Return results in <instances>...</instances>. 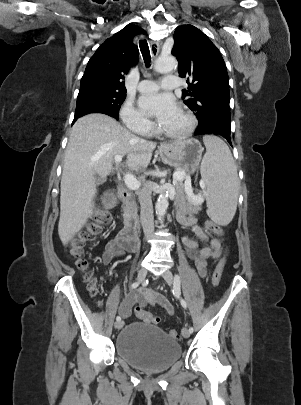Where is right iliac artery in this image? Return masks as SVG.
<instances>
[{
	"mask_svg": "<svg viewBox=\"0 0 301 405\" xmlns=\"http://www.w3.org/2000/svg\"><path fill=\"white\" fill-rule=\"evenodd\" d=\"M139 285H140V282H134V283L131 285V288H132V289H135V288H137ZM116 320H117V321H120V320H121V317H120V316H117V317H116Z\"/></svg>",
	"mask_w": 301,
	"mask_h": 405,
	"instance_id": "obj_1",
	"label": "right iliac artery"
}]
</instances>
